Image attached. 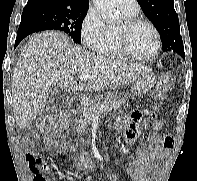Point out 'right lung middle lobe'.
I'll return each mask as SVG.
<instances>
[{
    "label": "right lung middle lobe",
    "mask_w": 197,
    "mask_h": 181,
    "mask_svg": "<svg viewBox=\"0 0 197 181\" xmlns=\"http://www.w3.org/2000/svg\"><path fill=\"white\" fill-rule=\"evenodd\" d=\"M86 10L38 7L23 11L21 22L40 27L42 30H60L69 34L75 43H81V26Z\"/></svg>",
    "instance_id": "obj_1"
}]
</instances>
